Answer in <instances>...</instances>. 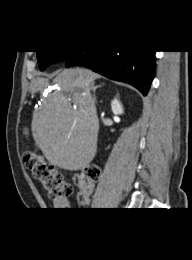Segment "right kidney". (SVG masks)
I'll list each match as a JSON object with an SVG mask.
<instances>
[{
  "mask_svg": "<svg viewBox=\"0 0 192 260\" xmlns=\"http://www.w3.org/2000/svg\"><path fill=\"white\" fill-rule=\"evenodd\" d=\"M112 112L115 115L123 114V107L117 99H114L111 103Z\"/></svg>",
  "mask_w": 192,
  "mask_h": 260,
  "instance_id": "obj_1",
  "label": "right kidney"
}]
</instances>
